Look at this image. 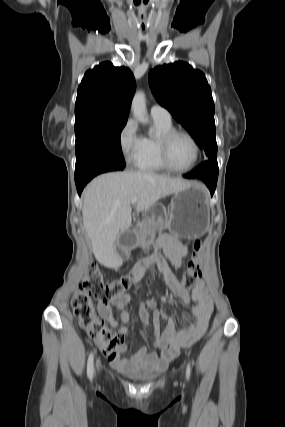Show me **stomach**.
<instances>
[{
	"instance_id": "stomach-1",
	"label": "stomach",
	"mask_w": 285,
	"mask_h": 427,
	"mask_svg": "<svg viewBox=\"0 0 285 427\" xmlns=\"http://www.w3.org/2000/svg\"><path fill=\"white\" fill-rule=\"evenodd\" d=\"M150 228L135 234L130 245L147 247L152 243L154 230L168 228L177 237L195 239L204 235L210 225V197L204 185L193 182L187 188L175 192L168 211L154 205L145 212Z\"/></svg>"
}]
</instances>
